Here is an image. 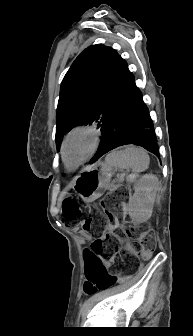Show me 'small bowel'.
<instances>
[{"instance_id":"1","label":"small bowel","mask_w":193,"mask_h":336,"mask_svg":"<svg viewBox=\"0 0 193 336\" xmlns=\"http://www.w3.org/2000/svg\"><path fill=\"white\" fill-rule=\"evenodd\" d=\"M111 263H112V260H108V261L103 262L105 268H109ZM87 268H88V261H87V254H86L85 255V272H87Z\"/></svg>"}]
</instances>
